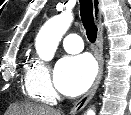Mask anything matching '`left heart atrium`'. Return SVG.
I'll return each instance as SVG.
<instances>
[{
	"label": "left heart atrium",
	"mask_w": 131,
	"mask_h": 115,
	"mask_svg": "<svg viewBox=\"0 0 131 115\" xmlns=\"http://www.w3.org/2000/svg\"><path fill=\"white\" fill-rule=\"evenodd\" d=\"M95 73V64L89 56H65L57 63L55 85L61 93L77 96L90 86Z\"/></svg>",
	"instance_id": "39dd6f15"
}]
</instances>
